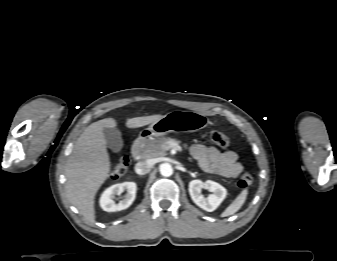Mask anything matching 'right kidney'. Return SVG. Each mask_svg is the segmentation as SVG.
Returning <instances> with one entry per match:
<instances>
[{"label":"right kidney","mask_w":337,"mask_h":261,"mask_svg":"<svg viewBox=\"0 0 337 261\" xmlns=\"http://www.w3.org/2000/svg\"><path fill=\"white\" fill-rule=\"evenodd\" d=\"M137 186L134 182H124L115 184L107 188L100 198V206L104 211L116 212L128 208L135 200ZM123 191H127L123 200L115 203V195L121 194Z\"/></svg>","instance_id":"1"}]
</instances>
